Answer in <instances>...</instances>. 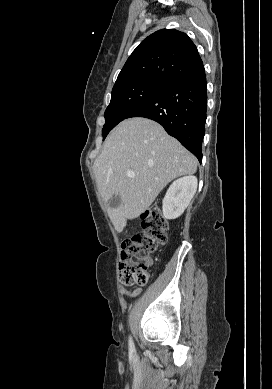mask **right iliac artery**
I'll return each mask as SVG.
<instances>
[{
	"instance_id": "right-iliac-artery-1",
	"label": "right iliac artery",
	"mask_w": 272,
	"mask_h": 389,
	"mask_svg": "<svg viewBox=\"0 0 272 389\" xmlns=\"http://www.w3.org/2000/svg\"><path fill=\"white\" fill-rule=\"evenodd\" d=\"M129 351L130 353H133L135 351L134 343L131 337L129 338Z\"/></svg>"
}]
</instances>
